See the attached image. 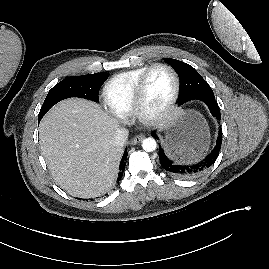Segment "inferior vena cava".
<instances>
[{
	"mask_svg": "<svg viewBox=\"0 0 269 269\" xmlns=\"http://www.w3.org/2000/svg\"><path fill=\"white\" fill-rule=\"evenodd\" d=\"M128 134H129L128 129H126V128H119L116 131V133H115V135H114V137L112 139V144L114 146H121V147H123L124 144H125V142H126V140H127V138H128Z\"/></svg>",
	"mask_w": 269,
	"mask_h": 269,
	"instance_id": "inferior-vena-cava-1",
	"label": "inferior vena cava"
}]
</instances>
